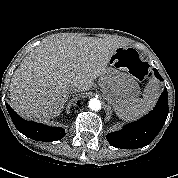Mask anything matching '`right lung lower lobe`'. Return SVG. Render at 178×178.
<instances>
[{
	"mask_svg": "<svg viewBox=\"0 0 178 178\" xmlns=\"http://www.w3.org/2000/svg\"><path fill=\"white\" fill-rule=\"evenodd\" d=\"M9 115L19 132L28 138L38 141H56L65 136L61 127H50L40 123L22 119L7 103L5 104Z\"/></svg>",
	"mask_w": 178,
	"mask_h": 178,
	"instance_id": "obj_1",
	"label": "right lung lower lobe"
}]
</instances>
